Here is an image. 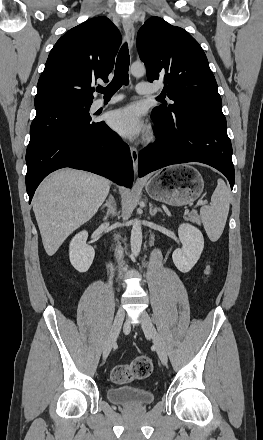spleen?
<instances>
[{
  "mask_svg": "<svg viewBox=\"0 0 263 440\" xmlns=\"http://www.w3.org/2000/svg\"><path fill=\"white\" fill-rule=\"evenodd\" d=\"M231 194L222 179L217 180V187L211 197V205L200 209V216L212 242L217 241L223 233L230 205Z\"/></svg>",
  "mask_w": 263,
  "mask_h": 440,
  "instance_id": "spleen-1",
  "label": "spleen"
}]
</instances>
